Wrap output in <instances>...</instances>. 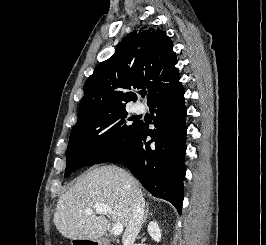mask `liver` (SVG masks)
Instances as JSON below:
<instances>
[{"label":"liver","mask_w":266,"mask_h":245,"mask_svg":"<svg viewBox=\"0 0 266 245\" xmlns=\"http://www.w3.org/2000/svg\"><path fill=\"white\" fill-rule=\"evenodd\" d=\"M139 187L134 177L115 165L93 169L59 197L54 225L66 239L98 241L109 225L106 217L95 213V205H108L113 223L128 227L131 191ZM87 209L92 213H85Z\"/></svg>","instance_id":"liver-1"}]
</instances>
